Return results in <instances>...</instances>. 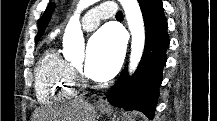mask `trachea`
Here are the masks:
<instances>
[{"instance_id":"3493384b","label":"trachea","mask_w":217,"mask_h":121,"mask_svg":"<svg viewBox=\"0 0 217 121\" xmlns=\"http://www.w3.org/2000/svg\"><path fill=\"white\" fill-rule=\"evenodd\" d=\"M123 13L121 11L117 12L116 17H122Z\"/></svg>"}]
</instances>
